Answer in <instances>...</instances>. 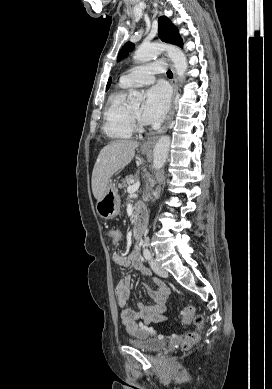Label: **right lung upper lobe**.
<instances>
[{
    "label": "right lung upper lobe",
    "mask_w": 272,
    "mask_h": 389,
    "mask_svg": "<svg viewBox=\"0 0 272 389\" xmlns=\"http://www.w3.org/2000/svg\"><path fill=\"white\" fill-rule=\"evenodd\" d=\"M110 82H111V78H109V81H108V83H107V89H108L109 86H110Z\"/></svg>",
    "instance_id": "obj_1"
}]
</instances>
